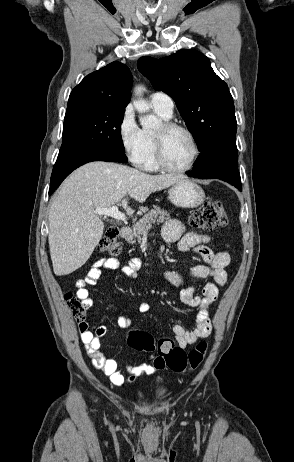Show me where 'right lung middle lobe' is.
<instances>
[{"instance_id":"obj_1","label":"right lung middle lobe","mask_w":294,"mask_h":462,"mask_svg":"<svg viewBox=\"0 0 294 462\" xmlns=\"http://www.w3.org/2000/svg\"><path fill=\"white\" fill-rule=\"evenodd\" d=\"M125 107L100 104L68 106L57 160L99 151L124 152L121 124Z\"/></svg>"}]
</instances>
